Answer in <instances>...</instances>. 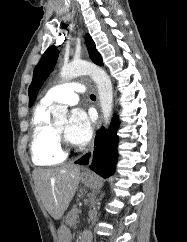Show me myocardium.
Instances as JSON below:
<instances>
[{
	"label": "myocardium",
	"mask_w": 187,
	"mask_h": 242,
	"mask_svg": "<svg viewBox=\"0 0 187 242\" xmlns=\"http://www.w3.org/2000/svg\"><path fill=\"white\" fill-rule=\"evenodd\" d=\"M53 132L57 141V144L59 146V148L64 152L67 153L70 149V147L66 144V142L63 139L62 133L59 132L55 126H53Z\"/></svg>",
	"instance_id": "obj_1"
}]
</instances>
